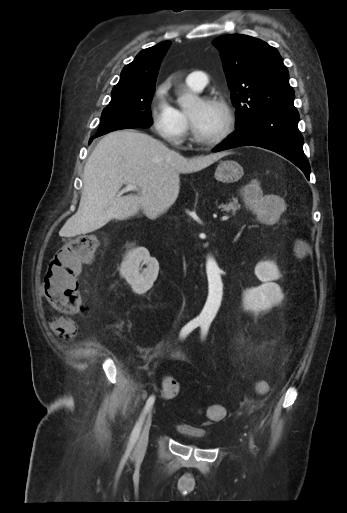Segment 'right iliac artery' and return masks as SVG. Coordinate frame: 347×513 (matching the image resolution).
I'll use <instances>...</instances> for the list:
<instances>
[{
	"instance_id": "82829eb1",
	"label": "right iliac artery",
	"mask_w": 347,
	"mask_h": 513,
	"mask_svg": "<svg viewBox=\"0 0 347 513\" xmlns=\"http://www.w3.org/2000/svg\"><path fill=\"white\" fill-rule=\"evenodd\" d=\"M203 323V321L201 319H193L191 320L190 322H188L181 330L180 332V337L181 338H185L192 330H194L195 328H197L199 325H201ZM155 401V397L154 396H150L146 402V405L143 409V412L142 414L140 415L138 421L136 422L132 432H131V435H130V439H129V443H128V446H127V451L130 452L132 450V448L134 447L138 437H139V434H140V431H141V428H142V424L144 422V419L146 417V414L149 412L150 408L152 407L153 403Z\"/></svg>"
}]
</instances>
